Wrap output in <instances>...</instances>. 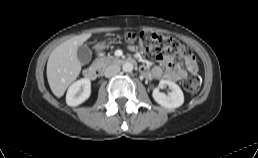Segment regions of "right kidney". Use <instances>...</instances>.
Segmentation results:
<instances>
[{
    "label": "right kidney",
    "instance_id": "obj_1",
    "mask_svg": "<svg viewBox=\"0 0 258 158\" xmlns=\"http://www.w3.org/2000/svg\"><path fill=\"white\" fill-rule=\"evenodd\" d=\"M91 95V82L87 78H83L74 82L68 89L66 94V103L68 106L74 107L82 104Z\"/></svg>",
    "mask_w": 258,
    "mask_h": 158
}]
</instances>
